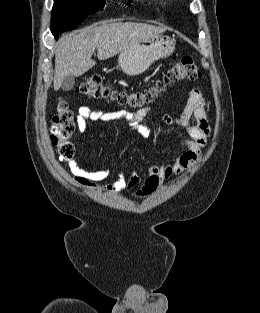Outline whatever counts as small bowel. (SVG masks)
Returning <instances> with one entry per match:
<instances>
[{"label":"small bowel","mask_w":260,"mask_h":313,"mask_svg":"<svg viewBox=\"0 0 260 313\" xmlns=\"http://www.w3.org/2000/svg\"><path fill=\"white\" fill-rule=\"evenodd\" d=\"M148 109L137 112L127 110H92L82 106L78 110L76 124L78 131L83 133L87 129L89 120L102 122L123 120L140 136L148 137L151 129L145 121ZM162 121L168 126L182 128L187 135L179 141L180 152L170 163L164 165H150L143 185L137 171H133L129 177L119 172L114 182L99 185L109 176L108 169H100L92 166H84L74 159L69 163V170L76 182L94 191H103L113 195H120L125 190H135L137 197H146L154 193L166 180L182 174L201 158L202 151L207 144L210 135V125L205 110V100L201 91L194 88L190 91L185 108L176 116L162 115Z\"/></svg>","instance_id":"c3829d8e"}]
</instances>
